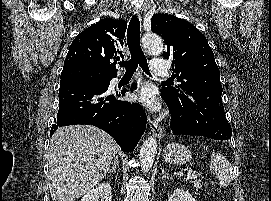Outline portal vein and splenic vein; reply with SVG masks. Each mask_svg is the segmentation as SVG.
I'll list each match as a JSON object with an SVG mask.
<instances>
[{"mask_svg": "<svg viewBox=\"0 0 271 201\" xmlns=\"http://www.w3.org/2000/svg\"><path fill=\"white\" fill-rule=\"evenodd\" d=\"M198 178V176L197 175H195V174H188L187 175V179L189 180V179H197Z\"/></svg>", "mask_w": 271, "mask_h": 201, "instance_id": "portal-vein-and-splenic-vein-1", "label": "portal vein and splenic vein"}]
</instances>
